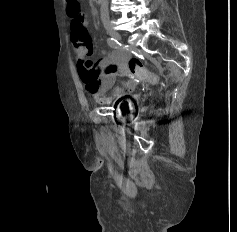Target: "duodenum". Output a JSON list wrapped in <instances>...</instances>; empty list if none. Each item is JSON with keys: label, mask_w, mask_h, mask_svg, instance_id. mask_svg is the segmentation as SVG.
<instances>
[{"label": "duodenum", "mask_w": 237, "mask_h": 232, "mask_svg": "<svg viewBox=\"0 0 237 232\" xmlns=\"http://www.w3.org/2000/svg\"><path fill=\"white\" fill-rule=\"evenodd\" d=\"M93 1H95V2H99L100 0H93Z\"/></svg>", "instance_id": "1"}]
</instances>
